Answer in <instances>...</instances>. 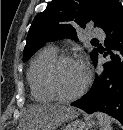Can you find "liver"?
Listing matches in <instances>:
<instances>
[{"mask_svg":"<svg viewBox=\"0 0 123 130\" xmlns=\"http://www.w3.org/2000/svg\"><path fill=\"white\" fill-rule=\"evenodd\" d=\"M77 116V111L69 106L59 104L33 105L27 110L20 129L55 130L62 123L73 120Z\"/></svg>","mask_w":123,"mask_h":130,"instance_id":"6515ba94","label":"liver"}]
</instances>
